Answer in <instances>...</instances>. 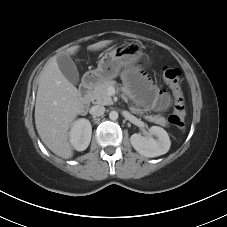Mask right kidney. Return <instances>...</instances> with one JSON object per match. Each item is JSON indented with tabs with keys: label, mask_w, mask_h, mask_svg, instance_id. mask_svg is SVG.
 Returning <instances> with one entry per match:
<instances>
[{
	"label": "right kidney",
	"mask_w": 227,
	"mask_h": 227,
	"mask_svg": "<svg viewBox=\"0 0 227 227\" xmlns=\"http://www.w3.org/2000/svg\"><path fill=\"white\" fill-rule=\"evenodd\" d=\"M92 127L87 119L76 120L70 130V143L77 151H84L91 140Z\"/></svg>",
	"instance_id": "right-kidney-1"
}]
</instances>
